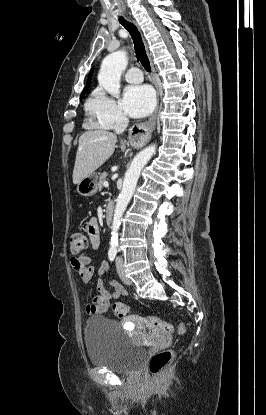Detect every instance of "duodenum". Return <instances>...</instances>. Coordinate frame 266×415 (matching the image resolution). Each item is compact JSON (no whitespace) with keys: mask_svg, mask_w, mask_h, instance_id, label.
I'll list each match as a JSON object with an SVG mask.
<instances>
[{"mask_svg":"<svg viewBox=\"0 0 266 415\" xmlns=\"http://www.w3.org/2000/svg\"><path fill=\"white\" fill-rule=\"evenodd\" d=\"M114 209L115 206L112 202H109L105 209V220L108 225L112 223L113 216H114Z\"/></svg>","mask_w":266,"mask_h":415,"instance_id":"obj_1","label":"duodenum"}]
</instances>
